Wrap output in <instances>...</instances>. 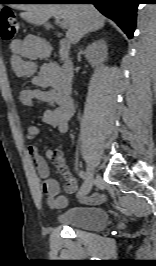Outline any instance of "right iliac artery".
<instances>
[{"mask_svg":"<svg viewBox=\"0 0 156 266\" xmlns=\"http://www.w3.org/2000/svg\"><path fill=\"white\" fill-rule=\"evenodd\" d=\"M79 176H80L82 179H86L87 174H86L84 171H80V172H79ZM84 185H85V184H84Z\"/></svg>","mask_w":156,"mask_h":266,"instance_id":"82829eb1","label":"right iliac artery"}]
</instances>
